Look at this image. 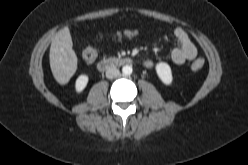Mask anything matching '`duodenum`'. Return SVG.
<instances>
[{"instance_id": "410a0bca", "label": "duodenum", "mask_w": 248, "mask_h": 165, "mask_svg": "<svg viewBox=\"0 0 248 165\" xmlns=\"http://www.w3.org/2000/svg\"><path fill=\"white\" fill-rule=\"evenodd\" d=\"M131 63L132 59L130 57H110L99 61L97 64V68L100 71H104L114 66H124Z\"/></svg>"}]
</instances>
